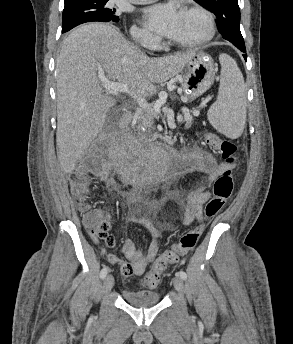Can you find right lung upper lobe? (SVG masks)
<instances>
[{
  "label": "right lung upper lobe",
  "mask_w": 293,
  "mask_h": 344,
  "mask_svg": "<svg viewBox=\"0 0 293 344\" xmlns=\"http://www.w3.org/2000/svg\"><path fill=\"white\" fill-rule=\"evenodd\" d=\"M73 1H77V0H65V3H69V2H73Z\"/></svg>",
  "instance_id": "cb5924a9"
}]
</instances>
